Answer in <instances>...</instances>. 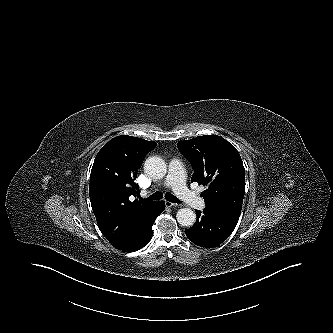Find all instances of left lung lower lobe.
I'll use <instances>...</instances> for the list:
<instances>
[{"label": "left lung lower lobe", "mask_w": 333, "mask_h": 333, "mask_svg": "<svg viewBox=\"0 0 333 333\" xmlns=\"http://www.w3.org/2000/svg\"><path fill=\"white\" fill-rule=\"evenodd\" d=\"M195 211L197 220L185 232L193 243L201 247L212 248L220 245L231 235L238 222L206 207L203 212Z\"/></svg>", "instance_id": "1"}]
</instances>
